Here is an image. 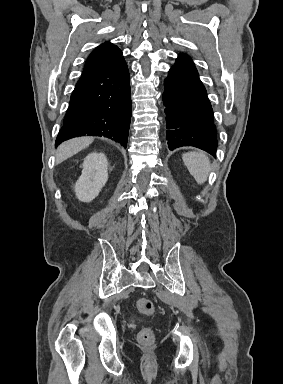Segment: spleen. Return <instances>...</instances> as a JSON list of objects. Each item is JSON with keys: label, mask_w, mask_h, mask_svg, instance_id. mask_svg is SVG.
Segmentation results:
<instances>
[{"label": "spleen", "mask_w": 283, "mask_h": 384, "mask_svg": "<svg viewBox=\"0 0 283 384\" xmlns=\"http://www.w3.org/2000/svg\"><path fill=\"white\" fill-rule=\"evenodd\" d=\"M182 160L197 184H204L211 170L206 154L204 152H188V154H183Z\"/></svg>", "instance_id": "spleen-1"}]
</instances>
